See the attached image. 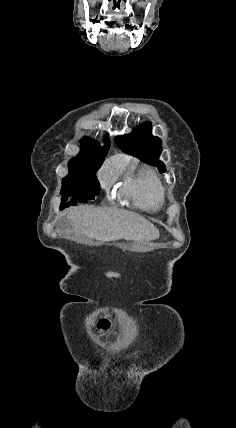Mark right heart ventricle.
<instances>
[{"label": "right heart ventricle", "mask_w": 236, "mask_h": 428, "mask_svg": "<svg viewBox=\"0 0 236 428\" xmlns=\"http://www.w3.org/2000/svg\"><path fill=\"white\" fill-rule=\"evenodd\" d=\"M121 193L139 207L155 209L164 200L165 186L152 172L141 171L126 178Z\"/></svg>", "instance_id": "obj_1"}]
</instances>
